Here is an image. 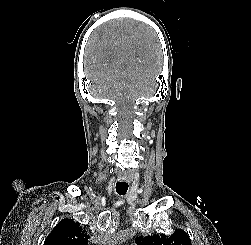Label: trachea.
<instances>
[{
  "label": "trachea",
  "instance_id": "3493384b",
  "mask_svg": "<svg viewBox=\"0 0 251 245\" xmlns=\"http://www.w3.org/2000/svg\"><path fill=\"white\" fill-rule=\"evenodd\" d=\"M127 190H128V183H126V182H117L116 183V192L119 195L126 194Z\"/></svg>",
  "mask_w": 251,
  "mask_h": 245
}]
</instances>
